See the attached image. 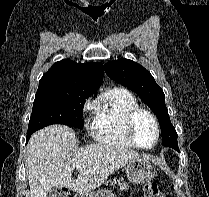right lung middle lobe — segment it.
<instances>
[{"instance_id": "obj_1", "label": "right lung middle lobe", "mask_w": 209, "mask_h": 197, "mask_svg": "<svg viewBox=\"0 0 209 197\" xmlns=\"http://www.w3.org/2000/svg\"><path fill=\"white\" fill-rule=\"evenodd\" d=\"M93 93L95 92L78 85L39 83L27 133L51 124L83 128L85 99Z\"/></svg>"}]
</instances>
